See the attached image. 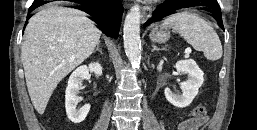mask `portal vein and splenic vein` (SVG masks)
I'll list each match as a JSON object with an SVG mask.
<instances>
[{"mask_svg":"<svg viewBox=\"0 0 257 130\" xmlns=\"http://www.w3.org/2000/svg\"><path fill=\"white\" fill-rule=\"evenodd\" d=\"M185 53H186V54H190V53H191V49H190V48H187V49L185 50Z\"/></svg>","mask_w":257,"mask_h":130,"instance_id":"1","label":"portal vein and splenic vein"}]
</instances>
